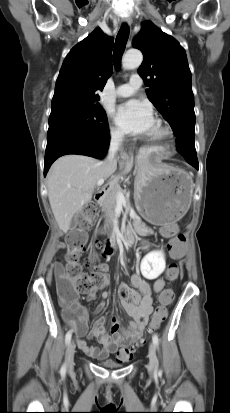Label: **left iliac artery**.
Returning <instances> with one entry per match:
<instances>
[{
    "mask_svg": "<svg viewBox=\"0 0 230 413\" xmlns=\"http://www.w3.org/2000/svg\"><path fill=\"white\" fill-rule=\"evenodd\" d=\"M153 343L155 344V346L157 347L159 344V338L157 336V334H154L152 337Z\"/></svg>",
    "mask_w": 230,
    "mask_h": 413,
    "instance_id": "left-iliac-artery-1",
    "label": "left iliac artery"
}]
</instances>
